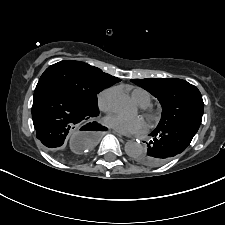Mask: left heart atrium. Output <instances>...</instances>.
I'll list each match as a JSON object with an SVG mask.
<instances>
[{
    "label": "left heart atrium",
    "instance_id": "39dd6f15",
    "mask_svg": "<svg viewBox=\"0 0 225 225\" xmlns=\"http://www.w3.org/2000/svg\"><path fill=\"white\" fill-rule=\"evenodd\" d=\"M108 126L124 134H135L143 132L146 129V122L141 116H125L122 114H113L105 119Z\"/></svg>",
    "mask_w": 225,
    "mask_h": 225
}]
</instances>
